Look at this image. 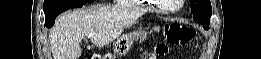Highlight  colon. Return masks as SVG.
<instances>
[{
  "instance_id": "1",
  "label": "colon",
  "mask_w": 261,
  "mask_h": 59,
  "mask_svg": "<svg viewBox=\"0 0 261 59\" xmlns=\"http://www.w3.org/2000/svg\"><path fill=\"white\" fill-rule=\"evenodd\" d=\"M164 38L169 44L173 45H187L195 37V31L191 27L171 23L167 24L163 28ZM168 52V46L165 43H159L155 46L153 53L149 54L148 56L144 57L147 59H156L164 56ZM92 58L99 59L101 57L95 56Z\"/></svg>"
}]
</instances>
